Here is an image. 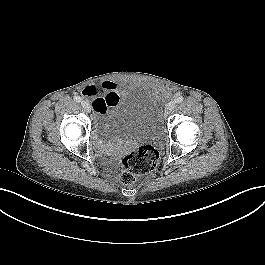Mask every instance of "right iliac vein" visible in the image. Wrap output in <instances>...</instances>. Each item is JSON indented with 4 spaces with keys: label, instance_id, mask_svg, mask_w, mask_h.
Instances as JSON below:
<instances>
[{
    "label": "right iliac vein",
    "instance_id": "63e3f726",
    "mask_svg": "<svg viewBox=\"0 0 265 265\" xmlns=\"http://www.w3.org/2000/svg\"><path fill=\"white\" fill-rule=\"evenodd\" d=\"M81 105L87 113L91 112V106L88 101H82Z\"/></svg>",
    "mask_w": 265,
    "mask_h": 265
}]
</instances>
